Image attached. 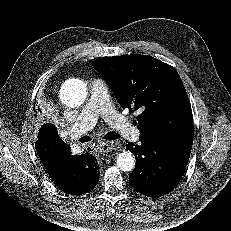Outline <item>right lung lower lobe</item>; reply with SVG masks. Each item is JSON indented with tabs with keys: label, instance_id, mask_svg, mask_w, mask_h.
I'll list each match as a JSON object with an SVG mask.
<instances>
[{
	"label": "right lung lower lobe",
	"instance_id": "right-lung-lower-lobe-1",
	"mask_svg": "<svg viewBox=\"0 0 231 231\" xmlns=\"http://www.w3.org/2000/svg\"><path fill=\"white\" fill-rule=\"evenodd\" d=\"M37 153L55 185L71 195L92 190L99 180L97 160L89 153L71 155L70 146L57 133L54 125L39 130Z\"/></svg>",
	"mask_w": 231,
	"mask_h": 231
}]
</instances>
